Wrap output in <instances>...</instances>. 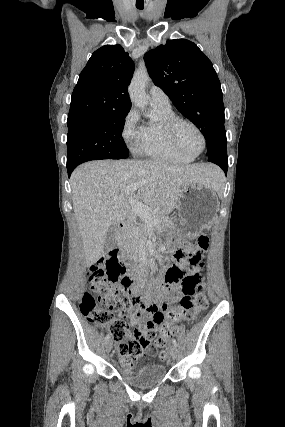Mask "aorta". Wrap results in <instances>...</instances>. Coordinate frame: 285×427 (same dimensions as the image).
I'll return each instance as SVG.
<instances>
[{
    "mask_svg": "<svg viewBox=\"0 0 285 427\" xmlns=\"http://www.w3.org/2000/svg\"><path fill=\"white\" fill-rule=\"evenodd\" d=\"M149 81V75L145 66H141L133 75L129 85V96L131 102L141 110H146L148 104V96L145 92V87ZM145 237H141L139 244V262L140 266H145L147 262V253L145 247Z\"/></svg>",
    "mask_w": 285,
    "mask_h": 427,
    "instance_id": "762f6f07",
    "label": "aorta"
}]
</instances>
